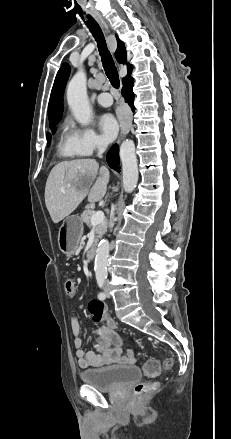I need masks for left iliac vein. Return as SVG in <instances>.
I'll return each mask as SVG.
<instances>
[{
	"label": "left iliac vein",
	"instance_id": "obj_1",
	"mask_svg": "<svg viewBox=\"0 0 231 439\" xmlns=\"http://www.w3.org/2000/svg\"><path fill=\"white\" fill-rule=\"evenodd\" d=\"M105 294L106 296L109 298L110 297V293H109V285L108 283L105 285Z\"/></svg>",
	"mask_w": 231,
	"mask_h": 439
}]
</instances>
